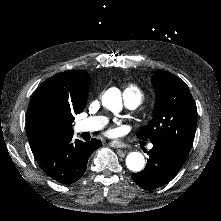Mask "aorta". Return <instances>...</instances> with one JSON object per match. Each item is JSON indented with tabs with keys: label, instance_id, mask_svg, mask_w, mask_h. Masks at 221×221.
<instances>
[{
	"label": "aorta",
	"instance_id": "aorta-1",
	"mask_svg": "<svg viewBox=\"0 0 221 221\" xmlns=\"http://www.w3.org/2000/svg\"><path fill=\"white\" fill-rule=\"evenodd\" d=\"M103 105L111 110L118 111L122 105V99L119 92L113 95H106L103 97ZM145 159L140 152H130L126 158V166L132 172H139L144 168Z\"/></svg>",
	"mask_w": 221,
	"mask_h": 221
}]
</instances>
